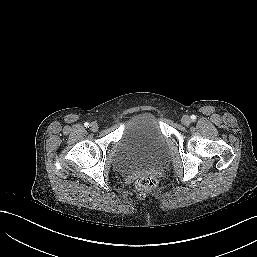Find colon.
Segmentation results:
<instances>
[{
    "label": "colon",
    "mask_w": 257,
    "mask_h": 257,
    "mask_svg": "<svg viewBox=\"0 0 257 257\" xmlns=\"http://www.w3.org/2000/svg\"><path fill=\"white\" fill-rule=\"evenodd\" d=\"M157 185V181L151 176H141L136 181V188L140 191L152 190Z\"/></svg>",
    "instance_id": "colon-1"
}]
</instances>
